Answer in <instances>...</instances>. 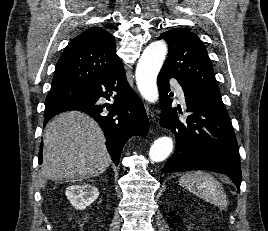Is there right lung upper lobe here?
Here are the masks:
<instances>
[{
    "label": "right lung upper lobe",
    "mask_w": 268,
    "mask_h": 231,
    "mask_svg": "<svg viewBox=\"0 0 268 231\" xmlns=\"http://www.w3.org/2000/svg\"><path fill=\"white\" fill-rule=\"evenodd\" d=\"M121 63L116 54L114 36L102 28L90 29L68 44L56 64L52 86L86 88ZM58 104H47L45 107Z\"/></svg>",
    "instance_id": "cb5924a9"
}]
</instances>
